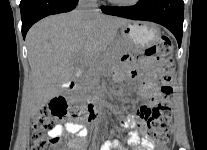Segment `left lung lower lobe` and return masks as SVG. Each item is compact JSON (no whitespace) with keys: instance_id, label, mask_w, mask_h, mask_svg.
<instances>
[{"instance_id":"left-lung-lower-lobe-1","label":"left lung lower lobe","mask_w":207,"mask_h":150,"mask_svg":"<svg viewBox=\"0 0 207 150\" xmlns=\"http://www.w3.org/2000/svg\"><path fill=\"white\" fill-rule=\"evenodd\" d=\"M108 15L161 24L176 37L180 47L183 33V0H140L129 7H101Z\"/></svg>"}]
</instances>
